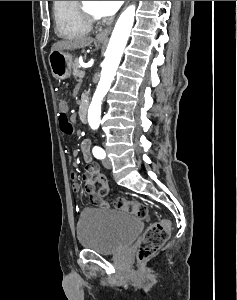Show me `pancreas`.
<instances>
[{
  "label": "pancreas",
  "instance_id": "pancreas-1",
  "mask_svg": "<svg viewBox=\"0 0 237 300\" xmlns=\"http://www.w3.org/2000/svg\"><path fill=\"white\" fill-rule=\"evenodd\" d=\"M80 67H79V63H78V59H75L74 63H73V75L74 77H82L80 76Z\"/></svg>",
  "mask_w": 237,
  "mask_h": 300
}]
</instances>
